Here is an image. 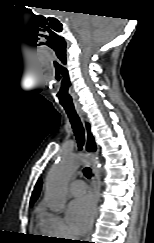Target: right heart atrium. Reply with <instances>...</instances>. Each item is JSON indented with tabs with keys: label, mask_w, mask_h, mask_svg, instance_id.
Returning <instances> with one entry per match:
<instances>
[{
	"label": "right heart atrium",
	"mask_w": 154,
	"mask_h": 243,
	"mask_svg": "<svg viewBox=\"0 0 154 243\" xmlns=\"http://www.w3.org/2000/svg\"><path fill=\"white\" fill-rule=\"evenodd\" d=\"M42 231L56 239L72 238L73 235L64 218L54 212L43 211L40 220Z\"/></svg>",
	"instance_id": "right-heart-atrium-1"
}]
</instances>
